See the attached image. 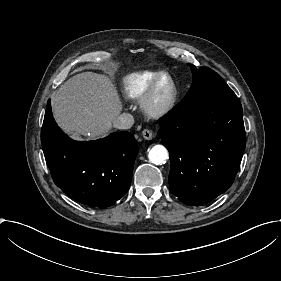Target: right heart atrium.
Here are the masks:
<instances>
[{
    "label": "right heart atrium",
    "instance_id": "right-heart-atrium-1",
    "mask_svg": "<svg viewBox=\"0 0 281 281\" xmlns=\"http://www.w3.org/2000/svg\"><path fill=\"white\" fill-rule=\"evenodd\" d=\"M102 94L109 101L111 108H112V114L117 113L122 108V105L114 97V95L112 94V92L110 90L104 89Z\"/></svg>",
    "mask_w": 281,
    "mask_h": 281
}]
</instances>
